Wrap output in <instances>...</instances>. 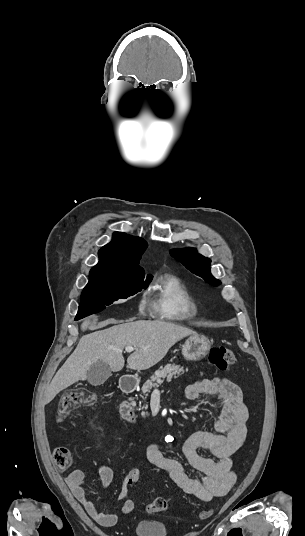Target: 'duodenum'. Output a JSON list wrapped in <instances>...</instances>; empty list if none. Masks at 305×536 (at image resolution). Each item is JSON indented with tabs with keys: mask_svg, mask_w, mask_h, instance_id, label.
Here are the masks:
<instances>
[{
	"mask_svg": "<svg viewBox=\"0 0 305 536\" xmlns=\"http://www.w3.org/2000/svg\"><path fill=\"white\" fill-rule=\"evenodd\" d=\"M139 385V380L131 376H123L120 380V389L125 394L133 393ZM121 415L129 423L137 424L138 419L131 400H125L121 405Z\"/></svg>",
	"mask_w": 305,
	"mask_h": 536,
	"instance_id": "410a0bca",
	"label": "duodenum"
}]
</instances>
